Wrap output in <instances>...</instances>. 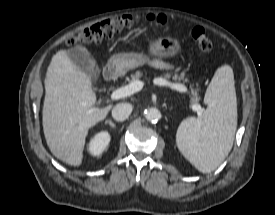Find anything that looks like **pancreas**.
<instances>
[{
    "mask_svg": "<svg viewBox=\"0 0 275 215\" xmlns=\"http://www.w3.org/2000/svg\"><path fill=\"white\" fill-rule=\"evenodd\" d=\"M143 76V73L141 71H137L136 73L131 75V82H135L138 81L139 78H141ZM165 79H169L172 78V80L174 81H178V82H182V83H186L189 80L187 78L184 77V74H178V73H164L163 74ZM190 91H191V105L194 104H198L200 97L198 96V89L194 88L193 85H190Z\"/></svg>",
    "mask_w": 275,
    "mask_h": 215,
    "instance_id": "pancreas-1",
    "label": "pancreas"
}]
</instances>
